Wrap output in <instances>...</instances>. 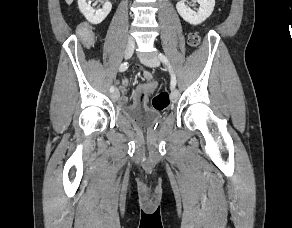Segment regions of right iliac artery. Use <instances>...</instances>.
Instances as JSON below:
<instances>
[{"label":"right iliac artery","mask_w":292,"mask_h":228,"mask_svg":"<svg viewBox=\"0 0 292 228\" xmlns=\"http://www.w3.org/2000/svg\"><path fill=\"white\" fill-rule=\"evenodd\" d=\"M128 66H129L128 62H124V63H122V64L120 65V67H119V71H120V72L125 71V70L128 68ZM110 91H111V92H114V91H115V87H114V86H111Z\"/></svg>","instance_id":"obj_1"}]
</instances>
